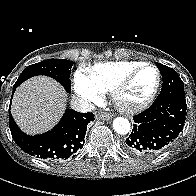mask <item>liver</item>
Wrapping results in <instances>:
<instances>
[{
  "label": "liver",
  "instance_id": "obj_1",
  "mask_svg": "<svg viewBox=\"0 0 196 196\" xmlns=\"http://www.w3.org/2000/svg\"><path fill=\"white\" fill-rule=\"evenodd\" d=\"M66 92L54 79L33 77L16 90L11 113L18 126L27 134L51 129L66 109Z\"/></svg>",
  "mask_w": 196,
  "mask_h": 196
}]
</instances>
